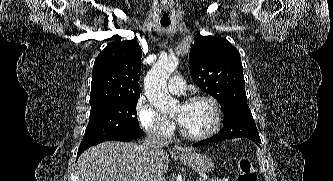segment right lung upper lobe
Returning a JSON list of instances; mask_svg holds the SVG:
<instances>
[{"label": "right lung upper lobe", "mask_w": 333, "mask_h": 181, "mask_svg": "<svg viewBox=\"0 0 333 181\" xmlns=\"http://www.w3.org/2000/svg\"><path fill=\"white\" fill-rule=\"evenodd\" d=\"M142 50L136 40L108 45L95 59L91 108L140 97V61Z\"/></svg>", "instance_id": "obj_1"}]
</instances>
